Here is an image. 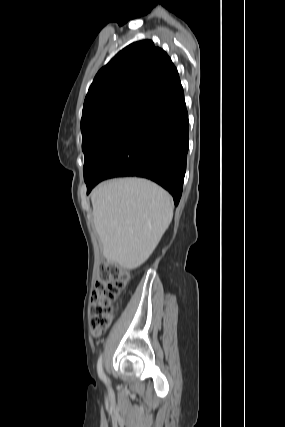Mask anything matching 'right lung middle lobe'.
Listing matches in <instances>:
<instances>
[{
    "instance_id": "dd1d6c3e",
    "label": "right lung middle lobe",
    "mask_w": 285,
    "mask_h": 427,
    "mask_svg": "<svg viewBox=\"0 0 285 427\" xmlns=\"http://www.w3.org/2000/svg\"><path fill=\"white\" fill-rule=\"evenodd\" d=\"M144 108L125 107L95 118L81 127L85 155L84 179L89 181Z\"/></svg>"
}]
</instances>
